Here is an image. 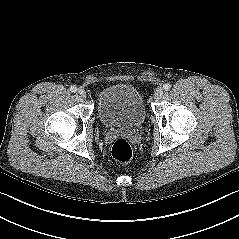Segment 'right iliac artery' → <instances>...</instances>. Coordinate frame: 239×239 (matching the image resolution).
<instances>
[{
  "label": "right iliac artery",
  "instance_id": "obj_1",
  "mask_svg": "<svg viewBox=\"0 0 239 239\" xmlns=\"http://www.w3.org/2000/svg\"><path fill=\"white\" fill-rule=\"evenodd\" d=\"M70 91L75 93L77 91V87L75 85L71 86Z\"/></svg>",
  "mask_w": 239,
  "mask_h": 239
}]
</instances>
